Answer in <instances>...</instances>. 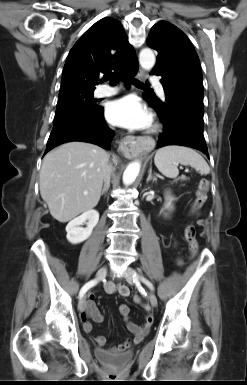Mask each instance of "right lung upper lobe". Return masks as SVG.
<instances>
[{
  "instance_id": "right-lung-upper-lobe-1",
  "label": "right lung upper lobe",
  "mask_w": 247,
  "mask_h": 385,
  "mask_svg": "<svg viewBox=\"0 0 247 385\" xmlns=\"http://www.w3.org/2000/svg\"><path fill=\"white\" fill-rule=\"evenodd\" d=\"M138 65L121 23L103 18L90 27L70 50L64 65L61 90L95 89L112 70L121 75Z\"/></svg>"
}]
</instances>
